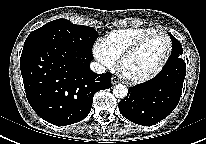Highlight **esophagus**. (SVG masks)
<instances>
[{"instance_id": "obj_1", "label": "esophagus", "mask_w": 206, "mask_h": 144, "mask_svg": "<svg viewBox=\"0 0 206 144\" xmlns=\"http://www.w3.org/2000/svg\"><path fill=\"white\" fill-rule=\"evenodd\" d=\"M117 83H119L118 79L112 78V84H113V85H116Z\"/></svg>"}]
</instances>
